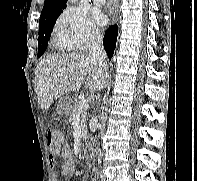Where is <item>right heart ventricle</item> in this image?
Listing matches in <instances>:
<instances>
[{"instance_id": "right-heart-ventricle-1", "label": "right heart ventricle", "mask_w": 197, "mask_h": 181, "mask_svg": "<svg viewBox=\"0 0 197 181\" xmlns=\"http://www.w3.org/2000/svg\"><path fill=\"white\" fill-rule=\"evenodd\" d=\"M55 48L57 50H65L68 48L67 43L64 39H62L59 35L56 34L55 41H54Z\"/></svg>"}]
</instances>
